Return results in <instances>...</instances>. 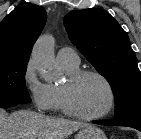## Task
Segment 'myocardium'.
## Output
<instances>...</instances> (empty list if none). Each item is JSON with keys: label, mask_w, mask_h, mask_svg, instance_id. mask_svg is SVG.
Masks as SVG:
<instances>
[{"label": "myocardium", "mask_w": 141, "mask_h": 139, "mask_svg": "<svg viewBox=\"0 0 141 139\" xmlns=\"http://www.w3.org/2000/svg\"><path fill=\"white\" fill-rule=\"evenodd\" d=\"M86 76H94L99 78L106 86L109 94V102L106 109L97 115H86L79 112L73 105L71 98V91L73 86L83 77ZM60 94H61V103L63 111L75 118L86 120V121H96L106 118L113 110L115 106V91L114 88L109 81V79L99 71L92 69H83L77 70L67 75L65 82L60 86Z\"/></svg>", "instance_id": "1"}]
</instances>
